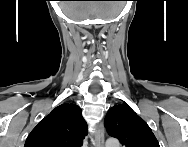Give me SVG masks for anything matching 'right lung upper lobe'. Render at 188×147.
<instances>
[{
    "mask_svg": "<svg viewBox=\"0 0 188 147\" xmlns=\"http://www.w3.org/2000/svg\"><path fill=\"white\" fill-rule=\"evenodd\" d=\"M87 125L78 105L54 108L28 135L25 147H81Z\"/></svg>",
    "mask_w": 188,
    "mask_h": 147,
    "instance_id": "1",
    "label": "right lung upper lobe"
}]
</instances>
